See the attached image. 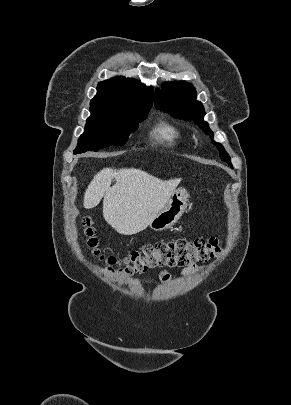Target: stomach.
Segmentation results:
<instances>
[{
  "label": "stomach",
  "mask_w": 291,
  "mask_h": 405,
  "mask_svg": "<svg viewBox=\"0 0 291 405\" xmlns=\"http://www.w3.org/2000/svg\"><path fill=\"white\" fill-rule=\"evenodd\" d=\"M189 194L186 189L179 188L171 195L165 207L149 224L155 231H161L173 226L187 208Z\"/></svg>",
  "instance_id": "obj_1"
}]
</instances>
